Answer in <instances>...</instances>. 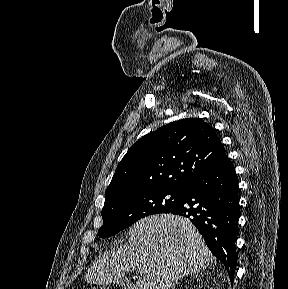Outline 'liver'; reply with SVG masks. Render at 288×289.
Returning a JSON list of instances; mask_svg holds the SVG:
<instances>
[{
    "label": "liver",
    "mask_w": 288,
    "mask_h": 289,
    "mask_svg": "<svg viewBox=\"0 0 288 289\" xmlns=\"http://www.w3.org/2000/svg\"><path fill=\"white\" fill-rule=\"evenodd\" d=\"M213 260L188 219L158 214L136 222L129 230L128 242L99 255L84 280L108 285L138 268L141 277L135 289H173L182 277L207 268Z\"/></svg>",
    "instance_id": "6515ba94"
}]
</instances>
